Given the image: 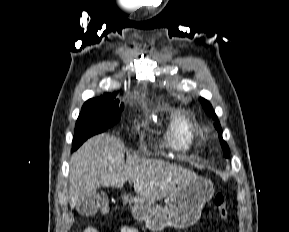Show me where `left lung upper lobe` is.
I'll return each instance as SVG.
<instances>
[{
  "mask_svg": "<svg viewBox=\"0 0 289 232\" xmlns=\"http://www.w3.org/2000/svg\"><path fill=\"white\" fill-rule=\"evenodd\" d=\"M200 102H201V104H202L205 112H206L208 115H211L213 119H217V116H216V114L214 113V110H213L211 104H210L207 100H205L204 98H201V97H200ZM214 126H215V128L217 129V131H218L219 133H222V129H221V126H220L219 122H216V123L214 124ZM219 138H220V141H221V146H222V148H223L224 156L228 158V157H229V148H228V145L223 141L221 135L219 136Z\"/></svg>",
  "mask_w": 289,
  "mask_h": 232,
  "instance_id": "obj_1",
  "label": "left lung upper lobe"
}]
</instances>
